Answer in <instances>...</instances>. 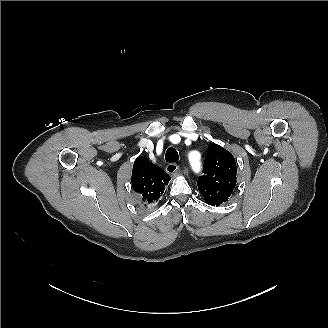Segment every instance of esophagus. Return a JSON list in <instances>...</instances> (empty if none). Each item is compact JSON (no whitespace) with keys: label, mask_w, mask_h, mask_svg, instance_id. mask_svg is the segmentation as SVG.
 <instances>
[{"label":"esophagus","mask_w":328,"mask_h":328,"mask_svg":"<svg viewBox=\"0 0 328 328\" xmlns=\"http://www.w3.org/2000/svg\"><path fill=\"white\" fill-rule=\"evenodd\" d=\"M178 169H179V167H178L177 164H175V163H170V164H168V165L166 166V169H165V170H166V172H167L168 174H170V175H174V174L177 173Z\"/></svg>","instance_id":"obj_1"}]
</instances>
